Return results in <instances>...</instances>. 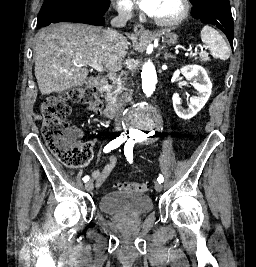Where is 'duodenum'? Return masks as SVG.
<instances>
[{
	"label": "duodenum",
	"mask_w": 256,
	"mask_h": 267,
	"mask_svg": "<svg viewBox=\"0 0 256 267\" xmlns=\"http://www.w3.org/2000/svg\"><path fill=\"white\" fill-rule=\"evenodd\" d=\"M93 86L105 100L103 115L106 118L114 117L123 107V103L115 100L109 93L108 79L103 76L94 78Z\"/></svg>",
	"instance_id": "obj_1"
}]
</instances>
